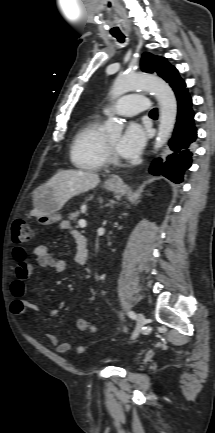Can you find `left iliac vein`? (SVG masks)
I'll use <instances>...</instances> for the list:
<instances>
[{"label":"left iliac vein","mask_w":215,"mask_h":433,"mask_svg":"<svg viewBox=\"0 0 215 433\" xmlns=\"http://www.w3.org/2000/svg\"><path fill=\"white\" fill-rule=\"evenodd\" d=\"M136 321H137L136 322V328H135V331L132 335V339H135L139 335L141 329L146 324L145 316L143 315V313L139 312L137 314V320Z\"/></svg>","instance_id":"obj_1"}]
</instances>
